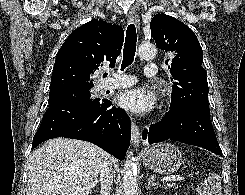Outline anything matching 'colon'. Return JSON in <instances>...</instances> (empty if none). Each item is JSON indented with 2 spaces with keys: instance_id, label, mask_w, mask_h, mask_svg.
Wrapping results in <instances>:
<instances>
[{
  "instance_id": "obj_1",
  "label": "colon",
  "mask_w": 245,
  "mask_h": 195,
  "mask_svg": "<svg viewBox=\"0 0 245 195\" xmlns=\"http://www.w3.org/2000/svg\"><path fill=\"white\" fill-rule=\"evenodd\" d=\"M221 181L220 179L208 172H205V178L198 187L199 195H220Z\"/></svg>"
}]
</instances>
